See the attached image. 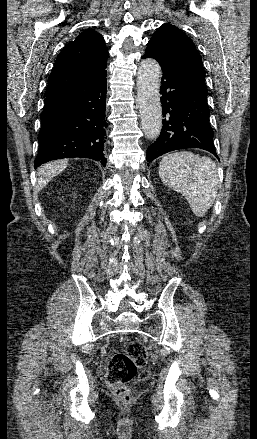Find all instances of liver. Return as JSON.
<instances>
[{
  "mask_svg": "<svg viewBox=\"0 0 257 439\" xmlns=\"http://www.w3.org/2000/svg\"><path fill=\"white\" fill-rule=\"evenodd\" d=\"M67 160H57L39 168L37 190L43 189L48 182L67 166Z\"/></svg>",
  "mask_w": 257,
  "mask_h": 439,
  "instance_id": "liver-1",
  "label": "liver"
}]
</instances>
